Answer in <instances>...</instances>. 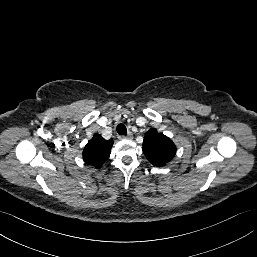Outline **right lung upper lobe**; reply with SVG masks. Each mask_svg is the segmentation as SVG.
Instances as JSON below:
<instances>
[{"label": "right lung upper lobe", "mask_w": 257, "mask_h": 257, "mask_svg": "<svg viewBox=\"0 0 257 257\" xmlns=\"http://www.w3.org/2000/svg\"><path fill=\"white\" fill-rule=\"evenodd\" d=\"M112 145V140H105L101 135L95 134L83 150L84 162L87 165L100 168L110 156Z\"/></svg>", "instance_id": "right-lung-upper-lobe-1"}]
</instances>
